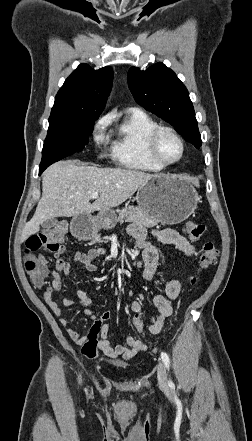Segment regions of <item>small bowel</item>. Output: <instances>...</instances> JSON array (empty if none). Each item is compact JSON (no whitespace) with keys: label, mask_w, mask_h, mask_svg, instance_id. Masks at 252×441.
I'll list each match as a JSON object with an SVG mask.
<instances>
[{"label":"small bowel","mask_w":252,"mask_h":441,"mask_svg":"<svg viewBox=\"0 0 252 441\" xmlns=\"http://www.w3.org/2000/svg\"><path fill=\"white\" fill-rule=\"evenodd\" d=\"M129 232L130 235L136 240L138 247L143 250V277L147 281H151L153 279L159 259L158 251L151 243L152 237L158 239L164 244L175 246L186 256H191L194 254V246L185 237L173 229L152 230L147 232L142 227H132L130 228ZM61 253L62 252L55 253V268L51 270L52 282L44 291L43 298L51 311L59 317V321L66 328L69 337L75 342L82 344L85 341V337H82L77 331L69 326L68 320L63 317V310L61 306L53 298V293L59 292L62 287L60 274L63 273L64 275H69L71 268L70 262L60 257ZM104 253L105 251L103 249H92L87 253L76 251L74 254V260L83 264L86 271L93 273L97 270L94 260ZM180 292V282L178 280H171L167 283L164 294L154 295L153 303L156 307V313L150 319L151 324L149 328L152 334H158L161 331L166 319L173 312V302L178 298ZM77 296L78 301L64 298L62 300L63 305L79 306L83 308L87 317L92 320H96L99 315L91 308L93 305L92 295L80 289L77 291ZM130 308L132 312L139 313L141 311V304L138 301H133ZM99 347L102 353L107 357L113 359L121 357L124 360H131L138 353L147 350L146 344L134 337L127 338V346L112 345L108 339L107 325L102 326Z\"/></svg>","instance_id":"small-bowel-1"}]
</instances>
